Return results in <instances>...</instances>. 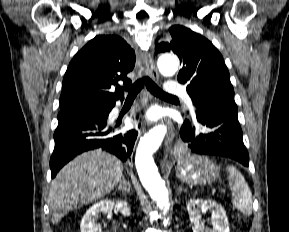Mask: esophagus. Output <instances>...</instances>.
<instances>
[{
  "label": "esophagus",
  "mask_w": 289,
  "mask_h": 232,
  "mask_svg": "<svg viewBox=\"0 0 289 232\" xmlns=\"http://www.w3.org/2000/svg\"><path fill=\"white\" fill-rule=\"evenodd\" d=\"M143 57V62L147 68V71L150 75L151 78L158 80L159 78V73L157 71V68L155 66L154 60L152 55L149 52H145L142 55ZM168 134L167 138L165 140V146L168 147L173 141V125L172 122L168 121Z\"/></svg>",
  "instance_id": "1"
}]
</instances>
